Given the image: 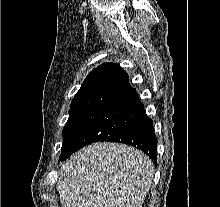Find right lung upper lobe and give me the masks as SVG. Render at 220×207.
I'll list each match as a JSON object with an SVG mask.
<instances>
[{
    "label": "right lung upper lobe",
    "mask_w": 220,
    "mask_h": 207,
    "mask_svg": "<svg viewBox=\"0 0 220 207\" xmlns=\"http://www.w3.org/2000/svg\"><path fill=\"white\" fill-rule=\"evenodd\" d=\"M121 71H123V69L115 63H103L88 74L81 87L103 83L105 80Z\"/></svg>",
    "instance_id": "1"
}]
</instances>
